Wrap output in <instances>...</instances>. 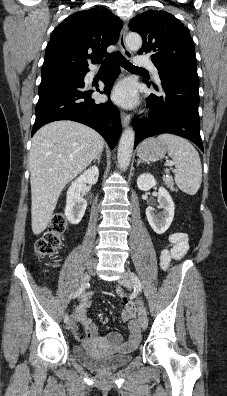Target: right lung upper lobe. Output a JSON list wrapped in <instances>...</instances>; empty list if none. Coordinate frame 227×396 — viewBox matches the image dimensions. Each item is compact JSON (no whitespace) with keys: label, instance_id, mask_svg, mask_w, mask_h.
Returning <instances> with one entry per match:
<instances>
[{"label":"right lung upper lobe","instance_id":"cb5924a9","mask_svg":"<svg viewBox=\"0 0 227 396\" xmlns=\"http://www.w3.org/2000/svg\"><path fill=\"white\" fill-rule=\"evenodd\" d=\"M122 23L106 8H92L67 17L52 32L41 71L88 70V60L98 64L117 42Z\"/></svg>","mask_w":227,"mask_h":396}]
</instances>
